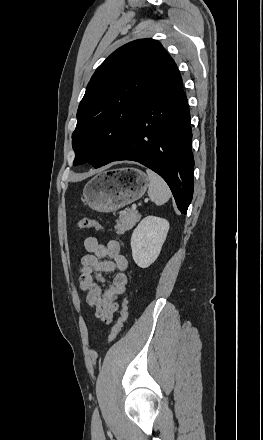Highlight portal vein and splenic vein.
I'll return each mask as SVG.
<instances>
[{"instance_id":"1","label":"portal vein and splenic vein","mask_w":263,"mask_h":440,"mask_svg":"<svg viewBox=\"0 0 263 440\" xmlns=\"http://www.w3.org/2000/svg\"><path fill=\"white\" fill-rule=\"evenodd\" d=\"M132 210H136V208H137V206H136V204H132Z\"/></svg>"}]
</instances>
